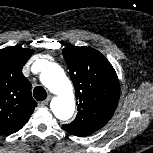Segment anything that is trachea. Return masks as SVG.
I'll return each mask as SVG.
<instances>
[{"label":"trachea","mask_w":153,"mask_h":153,"mask_svg":"<svg viewBox=\"0 0 153 153\" xmlns=\"http://www.w3.org/2000/svg\"><path fill=\"white\" fill-rule=\"evenodd\" d=\"M33 96L38 101H43L47 97L46 90L41 86H36L33 90Z\"/></svg>","instance_id":"1"}]
</instances>
